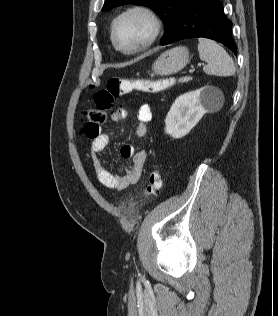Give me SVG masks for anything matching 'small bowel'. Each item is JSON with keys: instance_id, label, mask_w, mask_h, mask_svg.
<instances>
[{"instance_id": "c3829d8e", "label": "small bowel", "mask_w": 278, "mask_h": 316, "mask_svg": "<svg viewBox=\"0 0 278 316\" xmlns=\"http://www.w3.org/2000/svg\"><path fill=\"white\" fill-rule=\"evenodd\" d=\"M128 111L124 108H119L111 115V120L114 123H119L126 119ZM137 126L136 135L142 138L146 135L148 126L152 119L151 108L148 104H142L136 113ZM85 135L91 140L90 156L94 168L95 175L99 182L107 188L122 191L136 184L140 178L147 161V155L144 151H136L131 145H125L121 148V156L131 159L132 163L122 176L113 174L105 163L100 158L101 153L109 143V136L99 132L93 136Z\"/></svg>"}]
</instances>
